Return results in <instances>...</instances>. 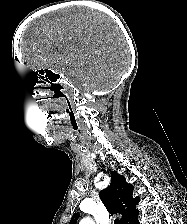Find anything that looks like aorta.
<instances>
[{
  "label": "aorta",
  "instance_id": "aorta-1",
  "mask_svg": "<svg viewBox=\"0 0 187 224\" xmlns=\"http://www.w3.org/2000/svg\"><path fill=\"white\" fill-rule=\"evenodd\" d=\"M79 224H95L93 219L90 217L83 218Z\"/></svg>",
  "mask_w": 187,
  "mask_h": 224
}]
</instances>
